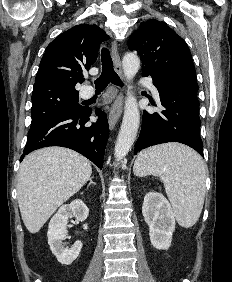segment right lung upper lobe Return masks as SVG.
<instances>
[{"label":"right lung upper lobe","mask_w":232,"mask_h":282,"mask_svg":"<svg viewBox=\"0 0 232 282\" xmlns=\"http://www.w3.org/2000/svg\"><path fill=\"white\" fill-rule=\"evenodd\" d=\"M108 36L97 25L80 24L60 34L46 48L37 72L33 92L60 89L78 92L84 70L98 56Z\"/></svg>","instance_id":"1"}]
</instances>
